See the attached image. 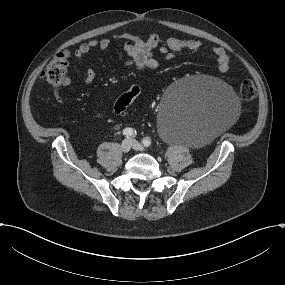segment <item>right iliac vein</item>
Segmentation results:
<instances>
[{
  "mask_svg": "<svg viewBox=\"0 0 285 285\" xmlns=\"http://www.w3.org/2000/svg\"><path fill=\"white\" fill-rule=\"evenodd\" d=\"M131 149V143L129 140H123L121 143V151L124 153H128Z\"/></svg>",
  "mask_w": 285,
  "mask_h": 285,
  "instance_id": "63e3f726",
  "label": "right iliac vein"
}]
</instances>
